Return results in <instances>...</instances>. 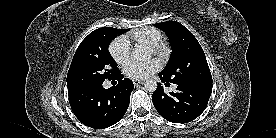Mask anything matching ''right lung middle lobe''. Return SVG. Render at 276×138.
<instances>
[{"instance_id": "1", "label": "right lung middle lobe", "mask_w": 276, "mask_h": 138, "mask_svg": "<svg viewBox=\"0 0 276 138\" xmlns=\"http://www.w3.org/2000/svg\"><path fill=\"white\" fill-rule=\"evenodd\" d=\"M127 29L102 27L91 32L78 46L67 75L68 91L103 83L118 75L108 52L110 42Z\"/></svg>"}]
</instances>
